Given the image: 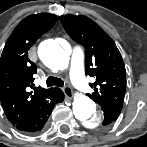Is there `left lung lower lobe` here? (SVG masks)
<instances>
[{"mask_svg": "<svg viewBox=\"0 0 147 147\" xmlns=\"http://www.w3.org/2000/svg\"><path fill=\"white\" fill-rule=\"evenodd\" d=\"M123 103L117 102L104 107H101L104 113V120L102 125L106 126L115 121L121 112Z\"/></svg>", "mask_w": 147, "mask_h": 147, "instance_id": "obj_1", "label": "left lung lower lobe"}]
</instances>
